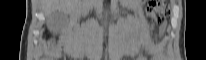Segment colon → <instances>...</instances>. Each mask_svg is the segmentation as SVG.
Instances as JSON below:
<instances>
[{"mask_svg":"<svg viewBox=\"0 0 206 60\" xmlns=\"http://www.w3.org/2000/svg\"><path fill=\"white\" fill-rule=\"evenodd\" d=\"M168 11L169 9L164 1H152L148 7L149 15L158 23L163 22Z\"/></svg>","mask_w":206,"mask_h":60,"instance_id":"5ec220e1","label":"colon"}]
</instances>
